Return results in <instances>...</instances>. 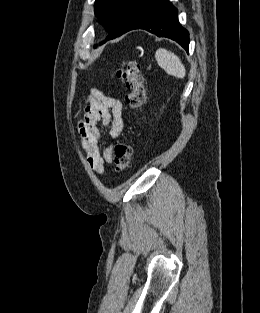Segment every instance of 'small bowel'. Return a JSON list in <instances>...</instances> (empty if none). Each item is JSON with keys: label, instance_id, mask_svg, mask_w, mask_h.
<instances>
[{"label": "small bowel", "instance_id": "c3829d8e", "mask_svg": "<svg viewBox=\"0 0 260 313\" xmlns=\"http://www.w3.org/2000/svg\"><path fill=\"white\" fill-rule=\"evenodd\" d=\"M122 103L119 99L103 94L98 89H91L84 114L78 122V132L89 168L96 174H103L105 163H111V146L100 150L98 141L100 131L98 123L109 127L112 138H117L123 129Z\"/></svg>", "mask_w": 260, "mask_h": 313}]
</instances>
